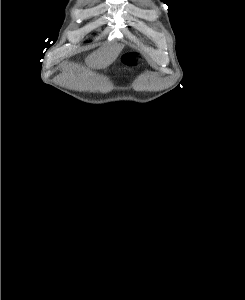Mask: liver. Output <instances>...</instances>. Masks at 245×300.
<instances>
[{"label":"liver","instance_id":"liver-1","mask_svg":"<svg viewBox=\"0 0 245 300\" xmlns=\"http://www.w3.org/2000/svg\"><path fill=\"white\" fill-rule=\"evenodd\" d=\"M122 48V45H116L108 50L96 51L87 58V62L94 68H105L116 60Z\"/></svg>","mask_w":245,"mask_h":300}]
</instances>
